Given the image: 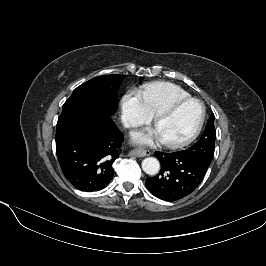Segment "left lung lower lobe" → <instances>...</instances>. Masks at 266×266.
<instances>
[{"mask_svg":"<svg viewBox=\"0 0 266 266\" xmlns=\"http://www.w3.org/2000/svg\"><path fill=\"white\" fill-rule=\"evenodd\" d=\"M155 156L161 163V170L155 177L147 178L146 187L154 196L166 201H176L191 194L208 169L181 151H157Z\"/></svg>","mask_w":266,"mask_h":266,"instance_id":"obj_1","label":"left lung lower lobe"}]
</instances>
